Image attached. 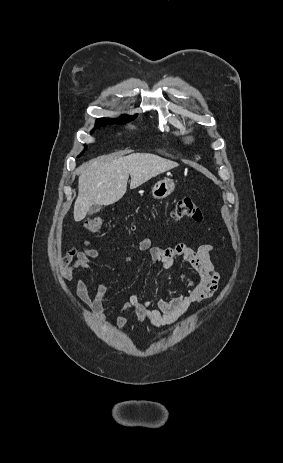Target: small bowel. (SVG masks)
Masks as SVG:
<instances>
[{
  "mask_svg": "<svg viewBox=\"0 0 283 463\" xmlns=\"http://www.w3.org/2000/svg\"><path fill=\"white\" fill-rule=\"evenodd\" d=\"M137 248L140 251H148L151 263L165 269L172 267L176 259H182L191 266L197 277H194L188 271H184L182 278L187 284V289L170 299H159L156 302H150L141 300L137 295H132L128 300L118 303L116 305L119 310L117 324L120 328L127 325V320L122 315L127 310L134 311L141 324L149 322L157 328L170 326L194 304L211 298L218 290L220 276L210 259V253L213 250L212 245L203 244L196 250L186 243L162 248L154 246L149 238H143L138 243ZM100 255V251L91 247L89 241L84 242L81 250L75 247L68 249L60 260L63 277L70 281L73 271L79 268L92 273L91 262L99 258ZM129 260L127 258V261ZM107 288V282H101L95 294L90 296L87 281L82 278L77 282L76 293L83 303L97 315H101L103 306L108 302Z\"/></svg>",
  "mask_w": 283,
  "mask_h": 463,
  "instance_id": "small-bowel-1",
  "label": "small bowel"
}]
</instances>
